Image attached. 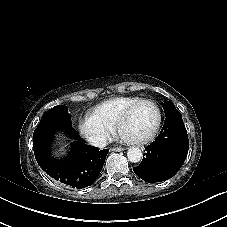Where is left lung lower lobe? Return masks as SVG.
Instances as JSON below:
<instances>
[{"label": "left lung lower lobe", "instance_id": "0a47b994", "mask_svg": "<svg viewBox=\"0 0 227 227\" xmlns=\"http://www.w3.org/2000/svg\"><path fill=\"white\" fill-rule=\"evenodd\" d=\"M189 140L182 118L165 119L160 135L146 147L141 164L134 173L146 182H161L173 177L183 165Z\"/></svg>", "mask_w": 227, "mask_h": 227}]
</instances>
